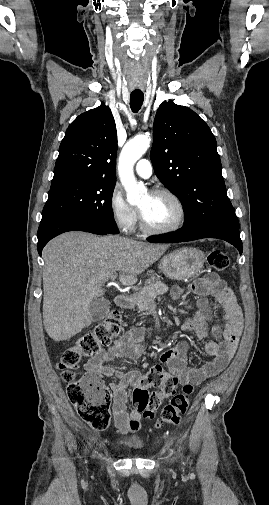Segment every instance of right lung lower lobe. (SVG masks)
<instances>
[{
  "mask_svg": "<svg viewBox=\"0 0 269 505\" xmlns=\"http://www.w3.org/2000/svg\"><path fill=\"white\" fill-rule=\"evenodd\" d=\"M67 231H85L99 235L111 234L95 225L70 219V218H52L40 223L38 230V253L41 255L43 247L55 236Z\"/></svg>",
  "mask_w": 269,
  "mask_h": 505,
  "instance_id": "obj_1",
  "label": "right lung lower lobe"
}]
</instances>
